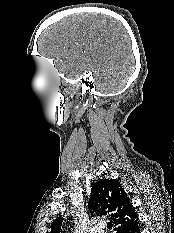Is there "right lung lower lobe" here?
<instances>
[{
    "instance_id": "obj_1",
    "label": "right lung lower lobe",
    "mask_w": 174,
    "mask_h": 233,
    "mask_svg": "<svg viewBox=\"0 0 174 233\" xmlns=\"http://www.w3.org/2000/svg\"><path fill=\"white\" fill-rule=\"evenodd\" d=\"M125 233H140L139 224L133 227L132 229L125 231Z\"/></svg>"
}]
</instances>
